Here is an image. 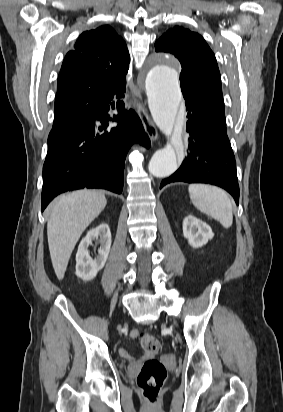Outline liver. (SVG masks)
<instances>
[{"label":"liver","instance_id":"liver-1","mask_svg":"<svg viewBox=\"0 0 283 412\" xmlns=\"http://www.w3.org/2000/svg\"><path fill=\"white\" fill-rule=\"evenodd\" d=\"M107 204L106 197L95 190H79L64 195L49 206L47 237L55 274L62 280L71 253L84 230Z\"/></svg>","mask_w":283,"mask_h":412}]
</instances>
